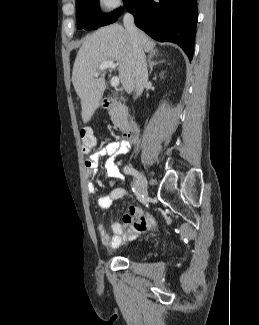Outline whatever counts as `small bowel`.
<instances>
[{
	"instance_id": "c3829d8e",
	"label": "small bowel",
	"mask_w": 259,
	"mask_h": 325,
	"mask_svg": "<svg viewBox=\"0 0 259 325\" xmlns=\"http://www.w3.org/2000/svg\"><path fill=\"white\" fill-rule=\"evenodd\" d=\"M132 146V142H110L104 147L91 154L85 161V174L87 178V189L90 194H96L97 188L94 179L97 175L99 160L106 157L104 162V176L113 181H122L123 174L117 165V158L126 153ZM127 191L123 187L113 188L108 194L98 199V205L102 210L108 209L116 200L123 199ZM154 225V218L136 206H129L122 217V223L114 222L110 225L109 233L104 224H98L97 230L102 244L107 249H116L133 240L141 232Z\"/></svg>"
}]
</instances>
